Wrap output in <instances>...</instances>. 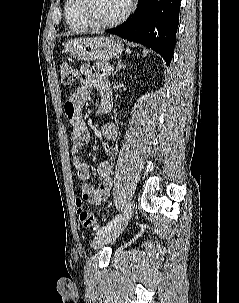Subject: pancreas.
Returning <instances> with one entry per match:
<instances>
[{
	"label": "pancreas",
	"instance_id": "cf45deb5",
	"mask_svg": "<svg viewBox=\"0 0 239 303\" xmlns=\"http://www.w3.org/2000/svg\"><path fill=\"white\" fill-rule=\"evenodd\" d=\"M94 68L97 71L102 72L103 76L108 77L110 75V64L108 62L96 61L94 63Z\"/></svg>",
	"mask_w": 239,
	"mask_h": 303
}]
</instances>
